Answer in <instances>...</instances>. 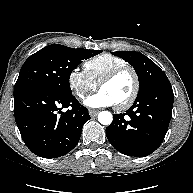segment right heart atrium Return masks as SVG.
I'll return each mask as SVG.
<instances>
[{
    "mask_svg": "<svg viewBox=\"0 0 193 193\" xmlns=\"http://www.w3.org/2000/svg\"><path fill=\"white\" fill-rule=\"evenodd\" d=\"M68 86L80 100L96 89V84L87 76L85 71L78 68H74L69 72Z\"/></svg>",
    "mask_w": 193,
    "mask_h": 193,
    "instance_id": "d8ad5b80",
    "label": "right heart atrium"
}]
</instances>
